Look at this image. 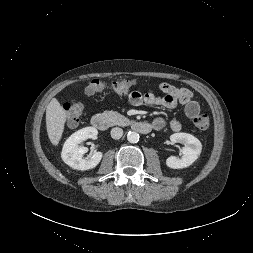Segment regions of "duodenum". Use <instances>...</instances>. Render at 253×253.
<instances>
[{"instance_id":"obj_1","label":"duodenum","mask_w":253,"mask_h":253,"mask_svg":"<svg viewBox=\"0 0 253 253\" xmlns=\"http://www.w3.org/2000/svg\"><path fill=\"white\" fill-rule=\"evenodd\" d=\"M91 124L98 130H105L107 129L109 122L104 114L98 113L92 117ZM132 128L139 133H148L153 129V126L149 123L138 121L132 124Z\"/></svg>"}]
</instances>
